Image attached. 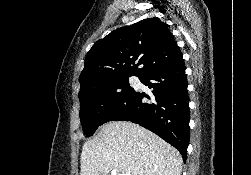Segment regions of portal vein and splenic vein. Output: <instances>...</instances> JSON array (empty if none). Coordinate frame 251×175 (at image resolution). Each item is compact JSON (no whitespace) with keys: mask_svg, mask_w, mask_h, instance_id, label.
Instances as JSON below:
<instances>
[{"mask_svg":"<svg viewBox=\"0 0 251 175\" xmlns=\"http://www.w3.org/2000/svg\"><path fill=\"white\" fill-rule=\"evenodd\" d=\"M111 175H131V173H117L116 169H112Z\"/></svg>","mask_w":251,"mask_h":175,"instance_id":"18ae733b","label":"portal vein and splenic vein"}]
</instances>
